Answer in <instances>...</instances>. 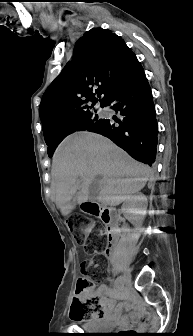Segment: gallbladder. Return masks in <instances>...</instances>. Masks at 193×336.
<instances>
[{
	"label": "gallbladder",
	"mask_w": 193,
	"mask_h": 336,
	"mask_svg": "<svg viewBox=\"0 0 193 336\" xmlns=\"http://www.w3.org/2000/svg\"><path fill=\"white\" fill-rule=\"evenodd\" d=\"M89 195H90V198H94L96 196L95 192L93 191L92 186L90 187V193H89Z\"/></svg>",
	"instance_id": "1"
}]
</instances>
